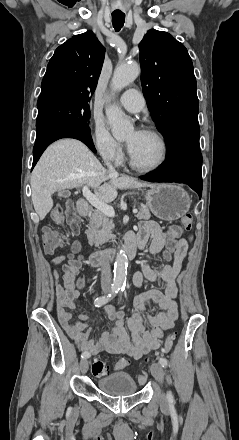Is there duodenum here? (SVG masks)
<instances>
[{
    "label": "duodenum",
    "instance_id": "410a0bca",
    "mask_svg": "<svg viewBox=\"0 0 239 440\" xmlns=\"http://www.w3.org/2000/svg\"><path fill=\"white\" fill-rule=\"evenodd\" d=\"M78 211L81 216H87L91 213L90 204L82 199L78 202ZM124 252L129 258H133L136 253V245L133 242H127L124 247ZM116 251L101 250L93 252L88 259V263L92 267H101L108 263L114 257Z\"/></svg>",
    "mask_w": 239,
    "mask_h": 440
}]
</instances>
